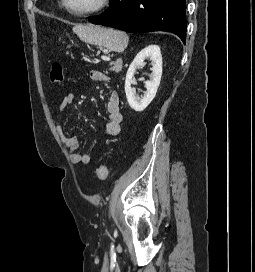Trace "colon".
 <instances>
[{"label": "colon", "mask_w": 255, "mask_h": 272, "mask_svg": "<svg viewBox=\"0 0 255 272\" xmlns=\"http://www.w3.org/2000/svg\"><path fill=\"white\" fill-rule=\"evenodd\" d=\"M49 79L52 84L63 83V69L60 63H53L50 69ZM109 170L106 165L101 164L96 170V175L100 180H105L108 177Z\"/></svg>", "instance_id": "1"}]
</instances>
